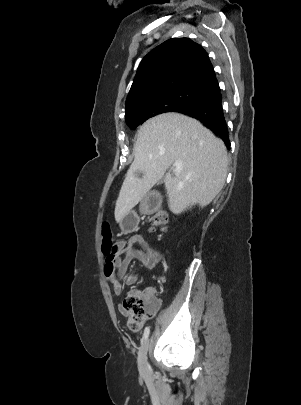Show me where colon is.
Listing matches in <instances>:
<instances>
[{
  "instance_id": "5ec220e1",
  "label": "colon",
  "mask_w": 301,
  "mask_h": 405,
  "mask_svg": "<svg viewBox=\"0 0 301 405\" xmlns=\"http://www.w3.org/2000/svg\"><path fill=\"white\" fill-rule=\"evenodd\" d=\"M168 223V215L165 211L153 213L149 218L151 231H165ZM102 250L106 256V262L111 263L116 253L113 243L112 231L109 223L104 222L101 227ZM158 308V300L154 294L141 292L138 290L130 291L123 300L122 310L127 317L128 325L131 330L138 331L144 322L155 315Z\"/></svg>"
}]
</instances>
